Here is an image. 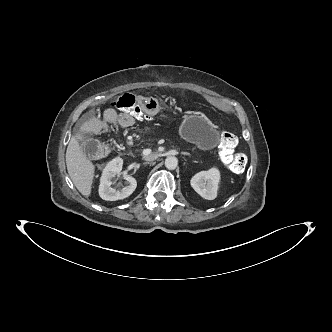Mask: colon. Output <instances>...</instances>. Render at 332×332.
Listing matches in <instances>:
<instances>
[{"label":"colon","instance_id":"colon-1","mask_svg":"<svg viewBox=\"0 0 332 332\" xmlns=\"http://www.w3.org/2000/svg\"><path fill=\"white\" fill-rule=\"evenodd\" d=\"M138 99L131 94H124L112 103L115 110L126 112L130 118H137L140 124H147L153 120V114L141 109L138 105ZM237 138L229 132L219 134V147L221 150V159L226 167L233 173H241L246 165V157L242 153L235 152ZM83 149L89 157H101L106 155L107 148L94 140L86 141Z\"/></svg>","mask_w":332,"mask_h":332}]
</instances>
